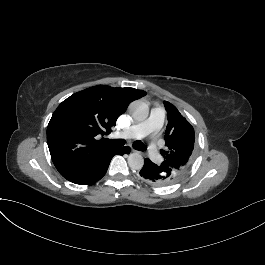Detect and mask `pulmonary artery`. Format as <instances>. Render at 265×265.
Returning a JSON list of instances; mask_svg holds the SVG:
<instances>
[{
  "label": "pulmonary artery",
  "instance_id": "pulmonary-artery-1",
  "mask_svg": "<svg viewBox=\"0 0 265 265\" xmlns=\"http://www.w3.org/2000/svg\"><path fill=\"white\" fill-rule=\"evenodd\" d=\"M152 111L150 113V118L146 122L142 123L141 125L131 126L130 128H125L124 130H116L115 131V138L116 139H124L125 141H130L133 139H140L142 136L148 139H155L157 135L161 134V123L163 122L165 113L164 108L160 104H153L150 107ZM149 154L151 155L152 159L155 163H162L163 162V155L162 152L158 149L157 146H150L149 147Z\"/></svg>",
  "mask_w": 265,
  "mask_h": 265
}]
</instances>
